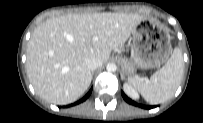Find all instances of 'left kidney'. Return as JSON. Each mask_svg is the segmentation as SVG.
Wrapping results in <instances>:
<instances>
[{"label": "left kidney", "instance_id": "1", "mask_svg": "<svg viewBox=\"0 0 203 123\" xmlns=\"http://www.w3.org/2000/svg\"><path fill=\"white\" fill-rule=\"evenodd\" d=\"M124 92L132 99L137 100L139 99L138 92L127 82L123 84Z\"/></svg>", "mask_w": 203, "mask_h": 123}]
</instances>
